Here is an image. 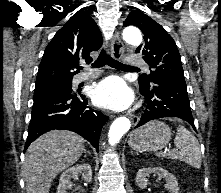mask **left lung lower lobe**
I'll list each match as a JSON object with an SVG mask.
<instances>
[{
	"label": "left lung lower lobe",
	"instance_id": "1",
	"mask_svg": "<svg viewBox=\"0 0 221 193\" xmlns=\"http://www.w3.org/2000/svg\"><path fill=\"white\" fill-rule=\"evenodd\" d=\"M147 106L135 128L158 118L178 117L195 129L185 80L157 77L152 85L140 88Z\"/></svg>",
	"mask_w": 221,
	"mask_h": 193
}]
</instances>
